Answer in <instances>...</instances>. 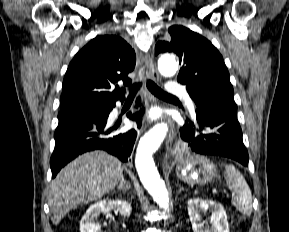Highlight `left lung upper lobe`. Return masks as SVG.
Returning <instances> with one entry per match:
<instances>
[{
  "label": "left lung upper lobe",
  "mask_w": 289,
  "mask_h": 232,
  "mask_svg": "<svg viewBox=\"0 0 289 232\" xmlns=\"http://www.w3.org/2000/svg\"><path fill=\"white\" fill-rule=\"evenodd\" d=\"M169 34L155 46L156 54L172 52L182 65L177 81L186 85L196 107L208 105L223 109L237 117L229 72L218 50L203 36L173 25Z\"/></svg>",
  "instance_id": "5c2ea615"
}]
</instances>
